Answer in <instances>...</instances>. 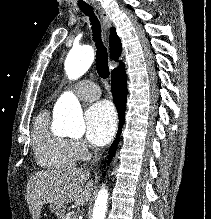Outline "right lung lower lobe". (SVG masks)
I'll list each match as a JSON object with an SVG mask.
<instances>
[{
	"label": "right lung lower lobe",
	"instance_id": "right-lung-lower-lobe-1",
	"mask_svg": "<svg viewBox=\"0 0 211 219\" xmlns=\"http://www.w3.org/2000/svg\"><path fill=\"white\" fill-rule=\"evenodd\" d=\"M111 91L113 95V101L115 103L116 109L119 116V130L117 133V138L113 142L109 150V162L110 159L114 156L119 143L121 130L124 124L125 116V107H126V97H127V77L124 70V67H121L114 71L111 75Z\"/></svg>",
	"mask_w": 211,
	"mask_h": 219
}]
</instances>
